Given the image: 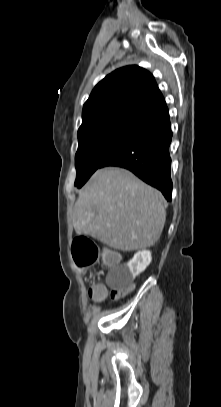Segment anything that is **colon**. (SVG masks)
Returning <instances> with one entry per match:
<instances>
[{
	"label": "colon",
	"mask_w": 221,
	"mask_h": 407,
	"mask_svg": "<svg viewBox=\"0 0 221 407\" xmlns=\"http://www.w3.org/2000/svg\"><path fill=\"white\" fill-rule=\"evenodd\" d=\"M73 257L79 268H85L97 263L99 259V250L94 242L85 237H77L72 245ZM110 252L103 253L105 268L113 266V261H121L122 253L115 252V248H110ZM131 291H111L112 298H120ZM89 294L94 300L100 301L106 297L107 290L101 285H95L90 288Z\"/></svg>",
	"instance_id": "obj_1"
}]
</instances>
